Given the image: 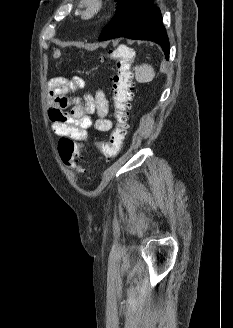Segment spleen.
Returning a JSON list of instances; mask_svg holds the SVG:
<instances>
[{
	"label": "spleen",
	"instance_id": "1",
	"mask_svg": "<svg viewBox=\"0 0 233 328\" xmlns=\"http://www.w3.org/2000/svg\"><path fill=\"white\" fill-rule=\"evenodd\" d=\"M135 77L139 83H148L151 82L155 77V71L151 65L143 64L136 66Z\"/></svg>",
	"mask_w": 233,
	"mask_h": 328
}]
</instances>
